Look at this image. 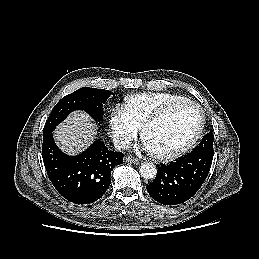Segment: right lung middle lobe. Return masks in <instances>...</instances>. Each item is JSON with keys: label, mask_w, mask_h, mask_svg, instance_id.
<instances>
[{"label": "right lung middle lobe", "mask_w": 259, "mask_h": 259, "mask_svg": "<svg viewBox=\"0 0 259 259\" xmlns=\"http://www.w3.org/2000/svg\"><path fill=\"white\" fill-rule=\"evenodd\" d=\"M111 94V91L105 89L82 87L64 96L52 109L44 126L43 136L53 132L55 127L75 110H83L94 120L101 121L103 104Z\"/></svg>", "instance_id": "obj_1"}]
</instances>
